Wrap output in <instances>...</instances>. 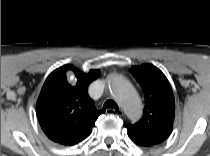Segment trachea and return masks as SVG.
<instances>
[{"label":"trachea","instance_id":"3493384b","mask_svg":"<svg viewBox=\"0 0 210 156\" xmlns=\"http://www.w3.org/2000/svg\"><path fill=\"white\" fill-rule=\"evenodd\" d=\"M107 108L118 109V106L114 101L107 100L103 105V109H107Z\"/></svg>","mask_w":210,"mask_h":156}]
</instances>
